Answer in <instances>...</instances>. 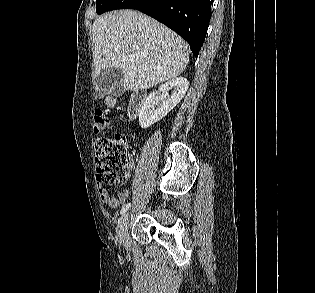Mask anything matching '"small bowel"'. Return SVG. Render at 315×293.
Listing matches in <instances>:
<instances>
[{
	"label": "small bowel",
	"mask_w": 315,
	"mask_h": 293,
	"mask_svg": "<svg viewBox=\"0 0 315 293\" xmlns=\"http://www.w3.org/2000/svg\"><path fill=\"white\" fill-rule=\"evenodd\" d=\"M132 165L133 163L131 161L130 167H132ZM98 190H99V194H100V198L102 202L111 208H117L118 206L123 204L129 195L128 190L119 192L116 195H112L110 191L106 187H104L101 183L98 184Z\"/></svg>",
	"instance_id": "c3829d8e"
}]
</instances>
